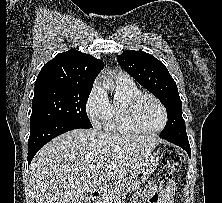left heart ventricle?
I'll return each mask as SVG.
<instances>
[{
	"mask_svg": "<svg viewBox=\"0 0 222 203\" xmlns=\"http://www.w3.org/2000/svg\"><path fill=\"white\" fill-rule=\"evenodd\" d=\"M137 116L142 126L147 129H157L163 123L161 108L150 98H145L139 103Z\"/></svg>",
	"mask_w": 222,
	"mask_h": 203,
	"instance_id": "left-heart-ventricle-1",
	"label": "left heart ventricle"
}]
</instances>
